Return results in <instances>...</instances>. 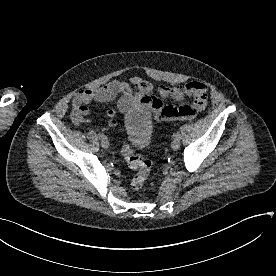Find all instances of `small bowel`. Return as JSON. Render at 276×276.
<instances>
[{"label": "small bowel", "mask_w": 276, "mask_h": 276, "mask_svg": "<svg viewBox=\"0 0 276 276\" xmlns=\"http://www.w3.org/2000/svg\"><path fill=\"white\" fill-rule=\"evenodd\" d=\"M154 86L147 80L135 76L129 82L113 80L105 85L80 90L74 97L73 121L82 123L86 116L90 115L92 102L107 103L116 98V109L107 111L108 126L115 127L118 124V113L128 114L134 110H148L155 120L167 121L173 119H192L202 112L207 104V85L200 81H191L183 85H160L157 88L158 96L152 95ZM192 97L191 104L179 106L165 105L162 99L183 101L186 97Z\"/></svg>", "instance_id": "c3829d8e"}]
</instances>
